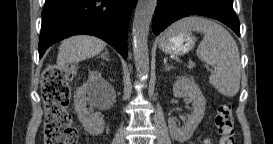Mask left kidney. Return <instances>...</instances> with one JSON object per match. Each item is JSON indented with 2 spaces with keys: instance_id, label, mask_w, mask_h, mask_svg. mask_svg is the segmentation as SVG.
<instances>
[{
  "instance_id": "5707ae66",
  "label": "left kidney",
  "mask_w": 273,
  "mask_h": 144,
  "mask_svg": "<svg viewBox=\"0 0 273 144\" xmlns=\"http://www.w3.org/2000/svg\"><path fill=\"white\" fill-rule=\"evenodd\" d=\"M173 95L176 98L188 96L192 101L193 111L188 116V120L183 127H178L174 118H171L168 122L172 137L179 142H184L190 139L202 121L206 100L194 79L188 76H182L177 79L173 85Z\"/></svg>"
}]
</instances>
